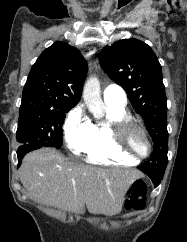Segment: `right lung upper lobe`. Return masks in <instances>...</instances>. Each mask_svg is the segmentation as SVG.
<instances>
[{
    "mask_svg": "<svg viewBox=\"0 0 187 242\" xmlns=\"http://www.w3.org/2000/svg\"><path fill=\"white\" fill-rule=\"evenodd\" d=\"M87 69L78 49L54 43L32 66L20 109L70 110L81 98Z\"/></svg>",
    "mask_w": 187,
    "mask_h": 242,
    "instance_id": "1",
    "label": "right lung upper lobe"
}]
</instances>
